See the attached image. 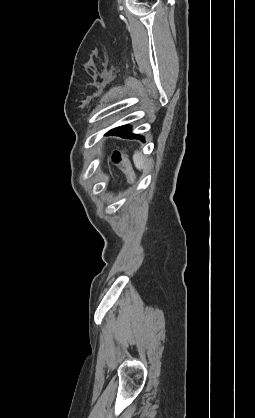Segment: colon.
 <instances>
[{
    "instance_id": "obj_1",
    "label": "colon",
    "mask_w": 255,
    "mask_h": 418,
    "mask_svg": "<svg viewBox=\"0 0 255 418\" xmlns=\"http://www.w3.org/2000/svg\"><path fill=\"white\" fill-rule=\"evenodd\" d=\"M112 161L115 164L121 163V161H122V154L119 151H117V150L114 151L113 154H112ZM132 179H133V177H132Z\"/></svg>"
}]
</instances>
